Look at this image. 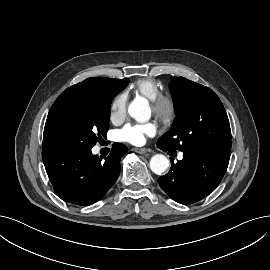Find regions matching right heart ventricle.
<instances>
[{
	"label": "right heart ventricle",
	"instance_id": "1",
	"mask_svg": "<svg viewBox=\"0 0 270 270\" xmlns=\"http://www.w3.org/2000/svg\"><path fill=\"white\" fill-rule=\"evenodd\" d=\"M132 89L149 100L154 99L162 93L161 85L153 78H142L137 80L132 85Z\"/></svg>",
	"mask_w": 270,
	"mask_h": 270
}]
</instances>
